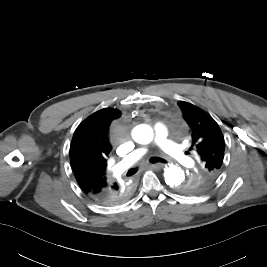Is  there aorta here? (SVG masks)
<instances>
[{
  "label": "aorta",
  "mask_w": 267,
  "mask_h": 267,
  "mask_svg": "<svg viewBox=\"0 0 267 267\" xmlns=\"http://www.w3.org/2000/svg\"><path fill=\"white\" fill-rule=\"evenodd\" d=\"M134 140L140 144H148L153 139V130L150 126L140 124L132 130ZM164 178L167 185L178 188L185 179L184 171L176 165H169L164 168Z\"/></svg>",
  "instance_id": "1"
}]
</instances>
